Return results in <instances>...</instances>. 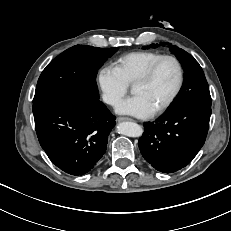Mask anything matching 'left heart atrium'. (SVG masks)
<instances>
[{"label":"left heart atrium","instance_id":"1","mask_svg":"<svg viewBox=\"0 0 231 231\" xmlns=\"http://www.w3.org/2000/svg\"><path fill=\"white\" fill-rule=\"evenodd\" d=\"M116 111L120 114L131 115L139 118H146L154 113V109L141 95H134L124 99L119 103Z\"/></svg>","mask_w":231,"mask_h":231}]
</instances>
